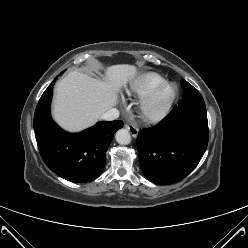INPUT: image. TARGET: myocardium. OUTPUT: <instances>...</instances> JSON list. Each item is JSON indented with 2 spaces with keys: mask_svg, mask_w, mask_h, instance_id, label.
Wrapping results in <instances>:
<instances>
[{
  "mask_svg": "<svg viewBox=\"0 0 248 248\" xmlns=\"http://www.w3.org/2000/svg\"><path fill=\"white\" fill-rule=\"evenodd\" d=\"M166 88H171L172 90L170 98L163 105L156 106L159 93ZM177 97L178 89L176 85L170 82H162L142 97L140 109L143 117L149 122H159L163 120L171 112Z\"/></svg>",
  "mask_w": 248,
  "mask_h": 248,
  "instance_id": "f54148a6",
  "label": "myocardium"
}]
</instances>
